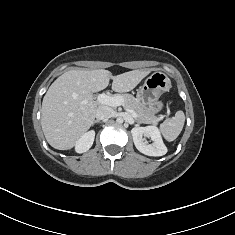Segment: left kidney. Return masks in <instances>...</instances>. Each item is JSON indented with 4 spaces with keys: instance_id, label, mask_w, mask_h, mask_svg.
I'll list each match as a JSON object with an SVG mask.
<instances>
[{
    "instance_id": "obj_1",
    "label": "left kidney",
    "mask_w": 235,
    "mask_h": 235,
    "mask_svg": "<svg viewBox=\"0 0 235 235\" xmlns=\"http://www.w3.org/2000/svg\"><path fill=\"white\" fill-rule=\"evenodd\" d=\"M135 147L148 156H163L167 148L163 143L159 129L156 126L134 127L131 130ZM143 137L151 138L152 144L144 142Z\"/></svg>"
}]
</instances>
